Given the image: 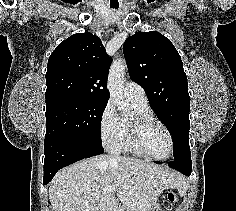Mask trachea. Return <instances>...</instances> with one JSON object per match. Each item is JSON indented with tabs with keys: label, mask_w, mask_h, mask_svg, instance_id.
Returning <instances> with one entry per match:
<instances>
[{
	"label": "trachea",
	"mask_w": 236,
	"mask_h": 211,
	"mask_svg": "<svg viewBox=\"0 0 236 211\" xmlns=\"http://www.w3.org/2000/svg\"><path fill=\"white\" fill-rule=\"evenodd\" d=\"M111 8H112V9H116V8H118V7H115V6H111Z\"/></svg>",
	"instance_id": "3493384b"
}]
</instances>
